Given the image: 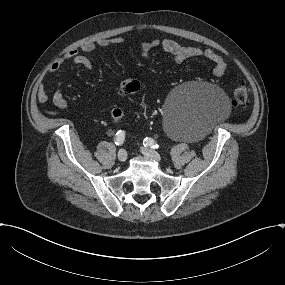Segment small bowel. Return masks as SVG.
Instances as JSON below:
<instances>
[{"mask_svg":"<svg viewBox=\"0 0 285 285\" xmlns=\"http://www.w3.org/2000/svg\"><path fill=\"white\" fill-rule=\"evenodd\" d=\"M124 44L125 40L121 37L101 38L95 42L85 43L80 47V49H71L66 52L61 58L51 63L48 67V71H57L60 66L66 61H71L75 64L83 66L87 70H91L93 68L91 60L87 56L81 54V51L84 53H91L97 48H107L113 45L122 46ZM157 48L170 54L173 57L174 61L178 63L183 62L189 58L204 57L214 64L213 74L216 77L223 76L227 69L225 59L212 48L185 46L171 39H155L151 41H143L140 44L141 54L146 59H148L150 53ZM37 98L42 103L47 102L50 98L47 92L44 90L43 85H40L38 87ZM51 99L53 104L61 110H65L68 107V103L63 96L61 88H57L55 90Z\"/></svg>","mask_w":285,"mask_h":285,"instance_id":"small-bowel-1","label":"small bowel"}]
</instances>
